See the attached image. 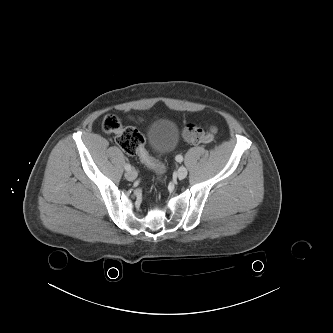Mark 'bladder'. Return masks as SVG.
<instances>
[{
    "label": "bladder",
    "instance_id": "31cf9c89",
    "mask_svg": "<svg viewBox=\"0 0 333 333\" xmlns=\"http://www.w3.org/2000/svg\"><path fill=\"white\" fill-rule=\"evenodd\" d=\"M178 127L167 119L154 122L148 131V142L155 154L171 151L177 144Z\"/></svg>",
    "mask_w": 333,
    "mask_h": 333
}]
</instances>
